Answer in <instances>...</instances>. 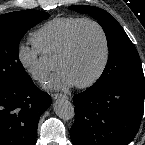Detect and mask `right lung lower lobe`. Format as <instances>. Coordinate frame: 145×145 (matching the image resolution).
<instances>
[{
  "instance_id": "obj_1",
  "label": "right lung lower lobe",
  "mask_w": 145,
  "mask_h": 145,
  "mask_svg": "<svg viewBox=\"0 0 145 145\" xmlns=\"http://www.w3.org/2000/svg\"><path fill=\"white\" fill-rule=\"evenodd\" d=\"M50 102L30 77L22 85L0 87V145H35L37 123Z\"/></svg>"
}]
</instances>
